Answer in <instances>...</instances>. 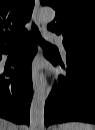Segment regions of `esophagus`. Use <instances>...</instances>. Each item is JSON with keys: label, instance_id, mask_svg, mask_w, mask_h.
<instances>
[{"label": "esophagus", "instance_id": "obj_1", "mask_svg": "<svg viewBox=\"0 0 95 130\" xmlns=\"http://www.w3.org/2000/svg\"><path fill=\"white\" fill-rule=\"evenodd\" d=\"M39 7H40V2L39 0H36L35 1V6H34V11H33V16H34V20L37 24V26L40 28V29H44V24L42 23V21L39 19V16H38V13H39ZM39 77L40 75L39 74H36L33 76V88L34 90H36L37 88V85L39 83Z\"/></svg>", "mask_w": 95, "mask_h": 130}]
</instances>
